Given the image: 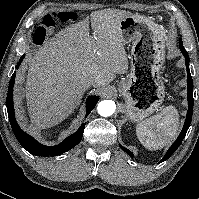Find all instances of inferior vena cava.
Masks as SVG:
<instances>
[{
    "label": "inferior vena cava",
    "instance_id": "inferior-vena-cava-1",
    "mask_svg": "<svg viewBox=\"0 0 199 199\" xmlns=\"http://www.w3.org/2000/svg\"><path fill=\"white\" fill-rule=\"evenodd\" d=\"M95 85V81L94 80H88L85 82V87L88 89L90 86Z\"/></svg>",
    "mask_w": 199,
    "mask_h": 199
}]
</instances>
